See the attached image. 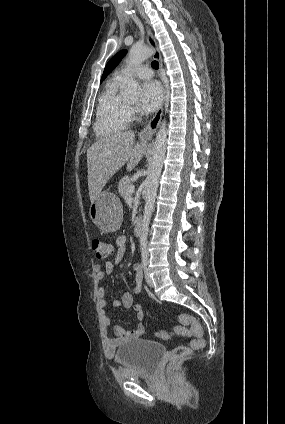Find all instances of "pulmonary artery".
Returning <instances> with one entry per match:
<instances>
[{
  "label": "pulmonary artery",
  "instance_id": "e3ab8cb5",
  "mask_svg": "<svg viewBox=\"0 0 285 424\" xmlns=\"http://www.w3.org/2000/svg\"><path fill=\"white\" fill-rule=\"evenodd\" d=\"M129 74H133L142 79H149L153 75V71L151 68L147 66H139V67H123L119 71H117V75L120 77H125Z\"/></svg>",
  "mask_w": 285,
  "mask_h": 424
}]
</instances>
